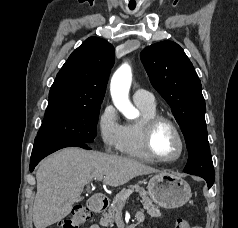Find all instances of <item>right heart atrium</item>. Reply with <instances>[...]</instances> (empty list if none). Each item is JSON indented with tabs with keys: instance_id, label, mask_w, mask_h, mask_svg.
<instances>
[{
	"instance_id": "obj_1",
	"label": "right heart atrium",
	"mask_w": 238,
	"mask_h": 228,
	"mask_svg": "<svg viewBox=\"0 0 238 228\" xmlns=\"http://www.w3.org/2000/svg\"><path fill=\"white\" fill-rule=\"evenodd\" d=\"M97 127L104 149L109 152L119 150L123 125L113 105L104 106L99 114Z\"/></svg>"
}]
</instances>
